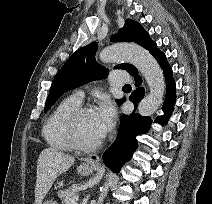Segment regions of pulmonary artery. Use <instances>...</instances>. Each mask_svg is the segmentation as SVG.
I'll list each match as a JSON object with an SVG mask.
<instances>
[{"instance_id": "1", "label": "pulmonary artery", "mask_w": 212, "mask_h": 204, "mask_svg": "<svg viewBox=\"0 0 212 204\" xmlns=\"http://www.w3.org/2000/svg\"><path fill=\"white\" fill-rule=\"evenodd\" d=\"M129 81V77L125 73H114L110 76L109 82L112 86H121L126 84ZM74 97L79 100L80 102L84 98V93L81 90H78L74 93Z\"/></svg>"}]
</instances>
